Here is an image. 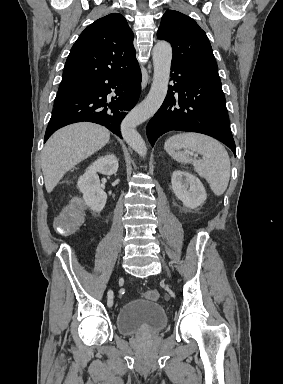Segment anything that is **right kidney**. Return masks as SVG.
I'll list each match as a JSON object with an SVG mask.
<instances>
[{
  "instance_id": "1",
  "label": "right kidney",
  "mask_w": 283,
  "mask_h": 384,
  "mask_svg": "<svg viewBox=\"0 0 283 384\" xmlns=\"http://www.w3.org/2000/svg\"><path fill=\"white\" fill-rule=\"evenodd\" d=\"M118 168L116 156L109 154V156L96 160L92 166L87 168L85 174L80 176L77 182L78 190L82 192L83 200L93 212H102L107 200V194L100 186L97 172L104 176H112V174H116Z\"/></svg>"
}]
</instances>
